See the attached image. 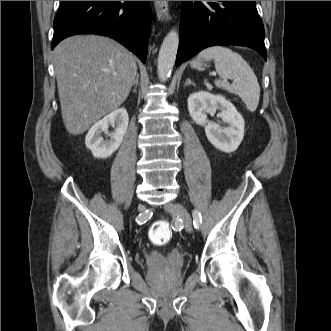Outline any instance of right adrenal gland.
<instances>
[{
    "mask_svg": "<svg viewBox=\"0 0 331 331\" xmlns=\"http://www.w3.org/2000/svg\"><path fill=\"white\" fill-rule=\"evenodd\" d=\"M138 79H139V75L136 76L134 82H133V86L137 87L138 85Z\"/></svg>",
    "mask_w": 331,
    "mask_h": 331,
    "instance_id": "1",
    "label": "right adrenal gland"
}]
</instances>
